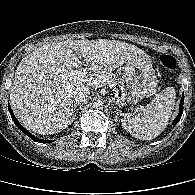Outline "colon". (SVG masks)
<instances>
[{
	"label": "colon",
	"instance_id": "1",
	"mask_svg": "<svg viewBox=\"0 0 195 195\" xmlns=\"http://www.w3.org/2000/svg\"><path fill=\"white\" fill-rule=\"evenodd\" d=\"M159 62L161 66L168 71H173L176 68V59L171 55H161L159 57Z\"/></svg>",
	"mask_w": 195,
	"mask_h": 195
}]
</instances>
